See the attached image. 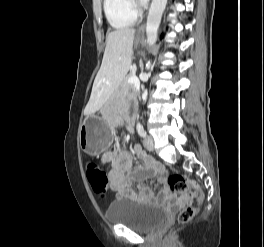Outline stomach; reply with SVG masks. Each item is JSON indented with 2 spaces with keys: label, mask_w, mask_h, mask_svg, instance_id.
Wrapping results in <instances>:
<instances>
[{
  "label": "stomach",
  "mask_w": 264,
  "mask_h": 247,
  "mask_svg": "<svg viewBox=\"0 0 264 247\" xmlns=\"http://www.w3.org/2000/svg\"><path fill=\"white\" fill-rule=\"evenodd\" d=\"M139 41V37H137ZM112 139V124L103 112L102 116L90 115L79 128V142L82 150L90 155L105 151Z\"/></svg>",
  "instance_id": "obj_1"
}]
</instances>
